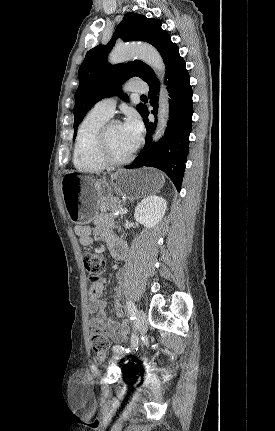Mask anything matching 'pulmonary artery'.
Masks as SVG:
<instances>
[{
	"instance_id": "obj_1",
	"label": "pulmonary artery",
	"mask_w": 275,
	"mask_h": 431,
	"mask_svg": "<svg viewBox=\"0 0 275 431\" xmlns=\"http://www.w3.org/2000/svg\"><path fill=\"white\" fill-rule=\"evenodd\" d=\"M127 89L136 93H145L148 91V86L141 81H132L128 83ZM116 99L114 97L104 98L96 103L94 109L98 112L111 117L114 114Z\"/></svg>"
}]
</instances>
